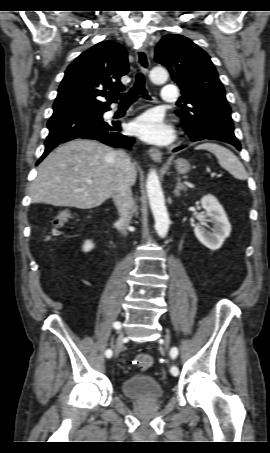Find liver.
Returning a JSON list of instances; mask_svg holds the SVG:
<instances>
[{
    "mask_svg": "<svg viewBox=\"0 0 270 453\" xmlns=\"http://www.w3.org/2000/svg\"><path fill=\"white\" fill-rule=\"evenodd\" d=\"M114 152L97 141L81 139L56 148L38 167L30 189L32 202L79 209L100 206L113 193L117 175ZM136 177L132 164L130 185L136 182Z\"/></svg>",
    "mask_w": 270,
    "mask_h": 453,
    "instance_id": "liver-1",
    "label": "liver"
}]
</instances>
